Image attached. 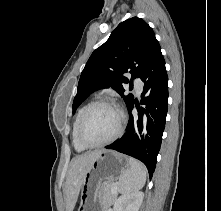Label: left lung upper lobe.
Returning <instances> with one entry per match:
<instances>
[{"instance_id":"obj_1","label":"left lung upper lobe","mask_w":221,"mask_h":211,"mask_svg":"<svg viewBox=\"0 0 221 211\" xmlns=\"http://www.w3.org/2000/svg\"><path fill=\"white\" fill-rule=\"evenodd\" d=\"M160 50L152 28L141 18L133 17L121 22L87 61L78 83L73 113L90 93L109 87L121 95L128 107L134 97L132 94L124 95L122 83H128V79L123 74H132L130 82L133 77L141 78Z\"/></svg>"}]
</instances>
